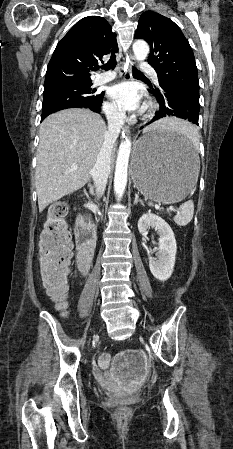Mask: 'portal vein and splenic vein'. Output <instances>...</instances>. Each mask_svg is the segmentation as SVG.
Masks as SVG:
<instances>
[{"label":"portal vein and splenic vein","mask_w":233,"mask_h":449,"mask_svg":"<svg viewBox=\"0 0 233 449\" xmlns=\"http://www.w3.org/2000/svg\"><path fill=\"white\" fill-rule=\"evenodd\" d=\"M73 168L76 169L77 166L74 165ZM172 211H176L177 213H179V211H178V210H175L172 206H170V207L167 208V212H172Z\"/></svg>","instance_id":"obj_1"}]
</instances>
